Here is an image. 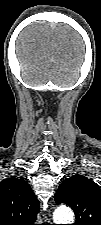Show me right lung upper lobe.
Returning <instances> with one entry per match:
<instances>
[{
	"instance_id": "right-lung-upper-lobe-1",
	"label": "right lung upper lobe",
	"mask_w": 101,
	"mask_h": 225,
	"mask_svg": "<svg viewBox=\"0 0 101 225\" xmlns=\"http://www.w3.org/2000/svg\"><path fill=\"white\" fill-rule=\"evenodd\" d=\"M39 201L22 178L0 182V225H35Z\"/></svg>"
}]
</instances>
